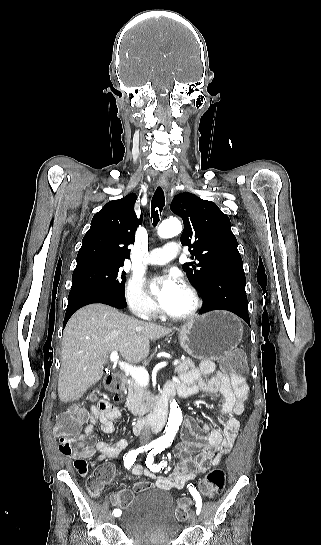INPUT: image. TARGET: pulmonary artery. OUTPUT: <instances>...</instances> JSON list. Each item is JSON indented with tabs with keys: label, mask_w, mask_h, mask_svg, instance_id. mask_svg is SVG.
<instances>
[{
	"label": "pulmonary artery",
	"mask_w": 321,
	"mask_h": 545,
	"mask_svg": "<svg viewBox=\"0 0 321 545\" xmlns=\"http://www.w3.org/2000/svg\"><path fill=\"white\" fill-rule=\"evenodd\" d=\"M165 250L156 248L145 253V259L143 265H162L169 261H175L177 257V250L179 245L177 241H166L164 245Z\"/></svg>",
	"instance_id": "obj_1"
}]
</instances>
